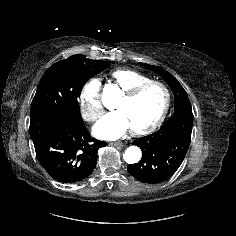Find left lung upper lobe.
I'll use <instances>...</instances> for the list:
<instances>
[{"mask_svg": "<svg viewBox=\"0 0 236 236\" xmlns=\"http://www.w3.org/2000/svg\"><path fill=\"white\" fill-rule=\"evenodd\" d=\"M141 64L145 66L146 68L158 74L163 75V77L166 79L167 83L169 84L171 90L173 91L174 99H175V109H177L180 106L190 105V101L188 99L186 91L173 75H171L169 72H167L166 70L160 67L149 65L146 63H141Z\"/></svg>", "mask_w": 236, "mask_h": 236, "instance_id": "obj_1", "label": "left lung upper lobe"}]
</instances>
